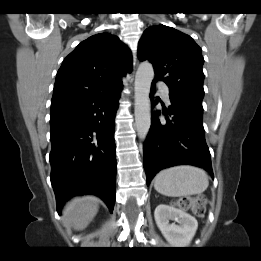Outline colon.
<instances>
[{
  "instance_id": "1",
  "label": "colon",
  "mask_w": 261,
  "mask_h": 261,
  "mask_svg": "<svg viewBox=\"0 0 261 261\" xmlns=\"http://www.w3.org/2000/svg\"><path fill=\"white\" fill-rule=\"evenodd\" d=\"M177 204L182 209H191L197 216H203L206 210V198L203 195H198L194 198L182 197Z\"/></svg>"
}]
</instances>
